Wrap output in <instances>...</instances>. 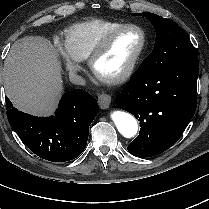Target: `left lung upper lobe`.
Listing matches in <instances>:
<instances>
[{
    "label": "left lung upper lobe",
    "mask_w": 209,
    "mask_h": 209,
    "mask_svg": "<svg viewBox=\"0 0 209 209\" xmlns=\"http://www.w3.org/2000/svg\"><path fill=\"white\" fill-rule=\"evenodd\" d=\"M133 15L146 17L157 33L152 53L139 68L156 73L197 57L194 46L174 21L147 12Z\"/></svg>",
    "instance_id": "5c2ea615"
}]
</instances>
